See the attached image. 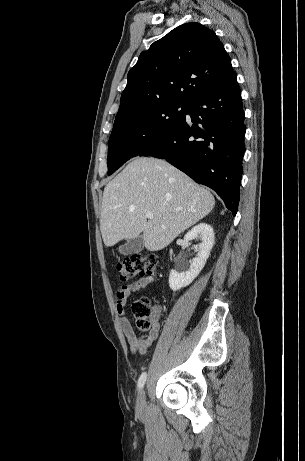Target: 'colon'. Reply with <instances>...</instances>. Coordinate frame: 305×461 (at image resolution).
<instances>
[{"mask_svg": "<svg viewBox=\"0 0 305 461\" xmlns=\"http://www.w3.org/2000/svg\"><path fill=\"white\" fill-rule=\"evenodd\" d=\"M160 259L156 255L135 254L121 260L117 264L120 278L124 281L136 277L153 278L157 275ZM131 311L136 319V326L141 331L152 327V310L147 298L136 300L131 305Z\"/></svg>", "mask_w": 305, "mask_h": 461, "instance_id": "5ec220e1", "label": "colon"}]
</instances>
